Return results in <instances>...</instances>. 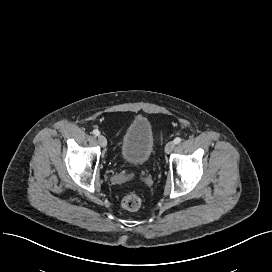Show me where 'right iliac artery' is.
Wrapping results in <instances>:
<instances>
[{
    "instance_id": "1",
    "label": "right iliac artery",
    "mask_w": 272,
    "mask_h": 272,
    "mask_svg": "<svg viewBox=\"0 0 272 272\" xmlns=\"http://www.w3.org/2000/svg\"><path fill=\"white\" fill-rule=\"evenodd\" d=\"M93 134L98 136L100 134V132H99V130L95 129V130H93Z\"/></svg>"
}]
</instances>
